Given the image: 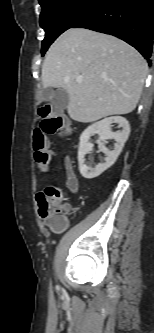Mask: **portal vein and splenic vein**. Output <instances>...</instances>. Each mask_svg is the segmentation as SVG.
I'll list each match as a JSON object with an SVG mask.
<instances>
[{"mask_svg": "<svg viewBox=\"0 0 154 333\" xmlns=\"http://www.w3.org/2000/svg\"><path fill=\"white\" fill-rule=\"evenodd\" d=\"M76 82H77V83H82V79H81V78H77V79H76Z\"/></svg>", "mask_w": 154, "mask_h": 333, "instance_id": "portal-vein-and-splenic-vein-1", "label": "portal vein and splenic vein"}]
</instances>
